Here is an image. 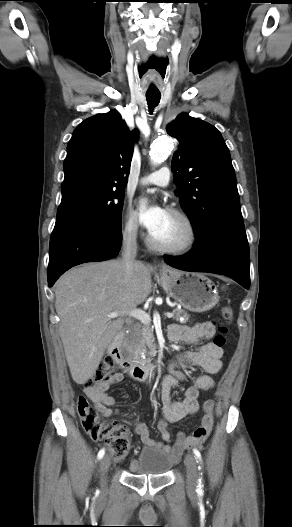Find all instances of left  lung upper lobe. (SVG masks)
<instances>
[{
    "label": "left lung upper lobe",
    "instance_id": "left-lung-upper-lobe-1",
    "mask_svg": "<svg viewBox=\"0 0 292 527\" xmlns=\"http://www.w3.org/2000/svg\"><path fill=\"white\" fill-rule=\"evenodd\" d=\"M166 129L179 141L172 170L195 238L224 229L245 230L234 168L220 132L185 113Z\"/></svg>",
    "mask_w": 292,
    "mask_h": 527
}]
</instances>
